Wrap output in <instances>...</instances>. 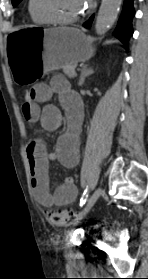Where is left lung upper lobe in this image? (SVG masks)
I'll list each match as a JSON object with an SVG mask.
<instances>
[{
  "instance_id": "1",
  "label": "left lung upper lobe",
  "mask_w": 148,
  "mask_h": 279,
  "mask_svg": "<svg viewBox=\"0 0 148 279\" xmlns=\"http://www.w3.org/2000/svg\"><path fill=\"white\" fill-rule=\"evenodd\" d=\"M21 0H12L13 6H17Z\"/></svg>"
}]
</instances>
